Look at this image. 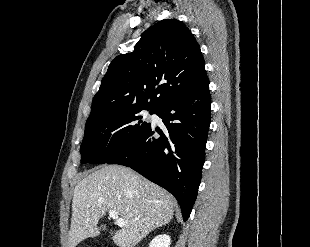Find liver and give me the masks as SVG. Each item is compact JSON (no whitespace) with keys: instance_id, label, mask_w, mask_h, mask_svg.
<instances>
[{"instance_id":"1","label":"liver","mask_w":310,"mask_h":247,"mask_svg":"<svg viewBox=\"0 0 310 247\" xmlns=\"http://www.w3.org/2000/svg\"><path fill=\"white\" fill-rule=\"evenodd\" d=\"M176 205L170 195L130 168L103 166L75 187L68 247L98 233L97 224L108 210H116L125 221L112 232L119 247H134L151 231L173 218Z\"/></svg>"}]
</instances>
